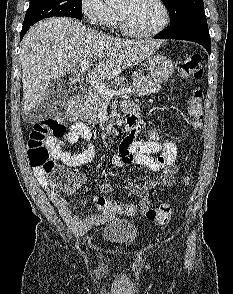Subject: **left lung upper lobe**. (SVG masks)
Returning a JSON list of instances; mask_svg holds the SVG:
<instances>
[{
    "instance_id": "5c2ea615",
    "label": "left lung upper lobe",
    "mask_w": 233,
    "mask_h": 294,
    "mask_svg": "<svg viewBox=\"0 0 233 294\" xmlns=\"http://www.w3.org/2000/svg\"><path fill=\"white\" fill-rule=\"evenodd\" d=\"M170 15L169 29L190 22H207L203 0H162Z\"/></svg>"
}]
</instances>
